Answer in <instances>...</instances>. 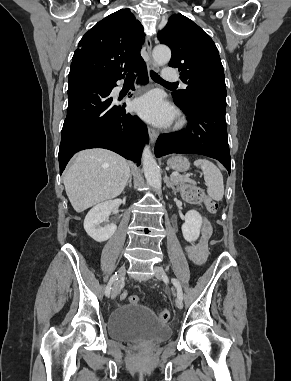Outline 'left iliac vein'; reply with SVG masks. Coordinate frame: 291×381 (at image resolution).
Instances as JSON below:
<instances>
[{"label":"left iliac vein","mask_w":291,"mask_h":381,"mask_svg":"<svg viewBox=\"0 0 291 381\" xmlns=\"http://www.w3.org/2000/svg\"><path fill=\"white\" fill-rule=\"evenodd\" d=\"M154 271H155V276L157 279L164 280V281L167 280L166 272L162 267L155 266ZM175 303H176L177 308H179V309L183 308L182 299H180L179 297L176 298Z\"/></svg>","instance_id":"1"}]
</instances>
